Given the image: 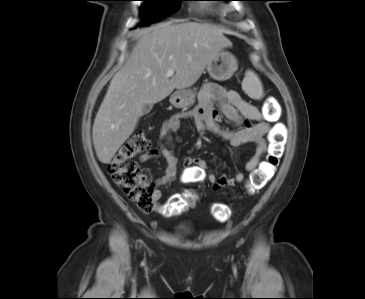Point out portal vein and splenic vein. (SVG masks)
I'll use <instances>...</instances> for the list:
<instances>
[{"instance_id":"1","label":"portal vein and splenic vein","mask_w":365,"mask_h":299,"mask_svg":"<svg viewBox=\"0 0 365 299\" xmlns=\"http://www.w3.org/2000/svg\"><path fill=\"white\" fill-rule=\"evenodd\" d=\"M174 75V70H172V69H170V70H168L167 72H166V76L167 77H171V76H173Z\"/></svg>"}]
</instances>
